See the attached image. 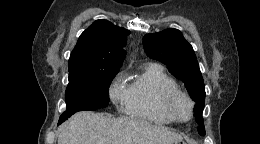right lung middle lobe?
Instances as JSON below:
<instances>
[{
    "label": "right lung middle lobe",
    "mask_w": 260,
    "mask_h": 144,
    "mask_svg": "<svg viewBox=\"0 0 260 144\" xmlns=\"http://www.w3.org/2000/svg\"><path fill=\"white\" fill-rule=\"evenodd\" d=\"M118 72L119 69L69 74L65 93L67 107L58 124L78 111L106 107L109 104V86Z\"/></svg>",
    "instance_id": "obj_1"
}]
</instances>
